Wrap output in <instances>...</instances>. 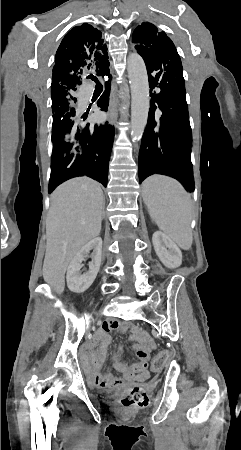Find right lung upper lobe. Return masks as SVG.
Returning <instances> with one entry per match:
<instances>
[{
  "label": "right lung upper lobe",
  "mask_w": 241,
  "mask_h": 450,
  "mask_svg": "<svg viewBox=\"0 0 241 450\" xmlns=\"http://www.w3.org/2000/svg\"><path fill=\"white\" fill-rule=\"evenodd\" d=\"M102 33L89 24H82L70 30L62 40L55 56L51 98L65 99L80 85L83 74L96 72L109 64L107 46L101 39Z\"/></svg>",
  "instance_id": "1"
}]
</instances>
